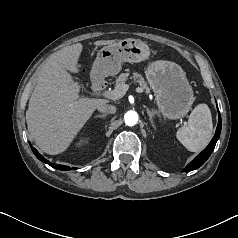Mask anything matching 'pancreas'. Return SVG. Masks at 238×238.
<instances>
[{
	"mask_svg": "<svg viewBox=\"0 0 238 238\" xmlns=\"http://www.w3.org/2000/svg\"><path fill=\"white\" fill-rule=\"evenodd\" d=\"M128 76H129V70H127L126 73L120 74L119 77L116 80L115 89L122 88L125 85V83L128 79ZM132 78L134 79V81L136 83L139 84V86L141 87L142 90H144L146 93H150V89H149L147 83L145 82L144 78L140 74L133 73Z\"/></svg>",
	"mask_w": 238,
	"mask_h": 238,
	"instance_id": "obj_1",
	"label": "pancreas"
}]
</instances>
